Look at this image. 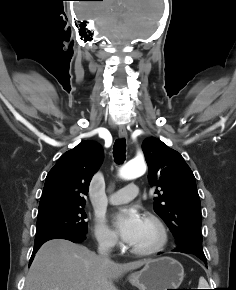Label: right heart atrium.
<instances>
[{"label":"right heart atrium","mask_w":236,"mask_h":290,"mask_svg":"<svg viewBox=\"0 0 236 290\" xmlns=\"http://www.w3.org/2000/svg\"><path fill=\"white\" fill-rule=\"evenodd\" d=\"M94 237L98 245L105 249H114L118 245L116 234L106 226L103 221L98 220L94 226Z\"/></svg>","instance_id":"1"}]
</instances>
